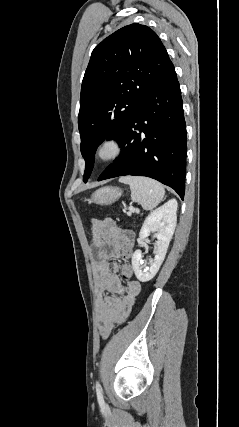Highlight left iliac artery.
I'll use <instances>...</instances> for the list:
<instances>
[{
  "mask_svg": "<svg viewBox=\"0 0 239 427\" xmlns=\"http://www.w3.org/2000/svg\"><path fill=\"white\" fill-rule=\"evenodd\" d=\"M96 393H97V398H98L99 402L104 403L102 389H101L99 382H96Z\"/></svg>",
  "mask_w": 239,
  "mask_h": 427,
  "instance_id": "left-iliac-artery-1",
  "label": "left iliac artery"
}]
</instances>
